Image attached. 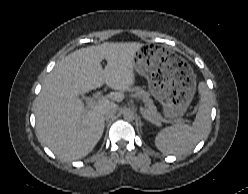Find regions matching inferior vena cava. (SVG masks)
I'll list each match as a JSON object with an SVG mask.
<instances>
[{"instance_id":"inferior-vena-cava-1","label":"inferior vena cava","mask_w":248,"mask_h":194,"mask_svg":"<svg viewBox=\"0 0 248 194\" xmlns=\"http://www.w3.org/2000/svg\"><path fill=\"white\" fill-rule=\"evenodd\" d=\"M116 110L117 109L115 107H110L106 109L104 112V119L106 120L112 119L116 114Z\"/></svg>"}]
</instances>
